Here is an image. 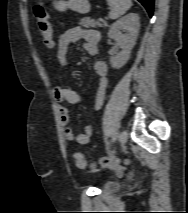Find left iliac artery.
<instances>
[{
    "label": "left iliac artery",
    "instance_id": "1",
    "mask_svg": "<svg viewBox=\"0 0 188 213\" xmlns=\"http://www.w3.org/2000/svg\"><path fill=\"white\" fill-rule=\"evenodd\" d=\"M117 137H118V134H115L113 137H112V142H115L117 140Z\"/></svg>",
    "mask_w": 188,
    "mask_h": 213
}]
</instances>
